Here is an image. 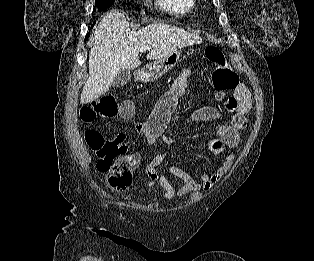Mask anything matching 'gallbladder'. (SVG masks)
Wrapping results in <instances>:
<instances>
[{
    "instance_id": "1",
    "label": "gallbladder",
    "mask_w": 314,
    "mask_h": 261,
    "mask_svg": "<svg viewBox=\"0 0 314 261\" xmlns=\"http://www.w3.org/2000/svg\"><path fill=\"white\" fill-rule=\"evenodd\" d=\"M131 79V71L129 69L121 70L113 81L114 87H123Z\"/></svg>"
}]
</instances>
